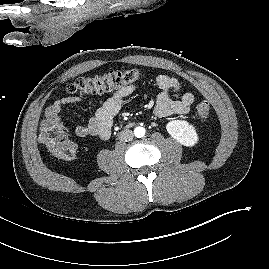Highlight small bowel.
Instances as JSON below:
<instances>
[{"instance_id":"c3829d8e","label":"small bowel","mask_w":269,"mask_h":269,"mask_svg":"<svg viewBox=\"0 0 269 269\" xmlns=\"http://www.w3.org/2000/svg\"><path fill=\"white\" fill-rule=\"evenodd\" d=\"M155 83L161 90L157 97L154 114L164 118L172 115H184L190 111L195 101V96L190 92H185L178 99L172 98V93H179L181 84L173 76L159 74L155 78ZM136 89V85L131 84L118 88L110 97L99 101L93 116L86 124L75 127L74 132L79 137L98 136L106 140L110 136L113 118L120 112L123 103ZM77 97L63 96L49 105L46 109V117L56 122H60L61 113L69 106L78 103Z\"/></svg>"}]
</instances>
